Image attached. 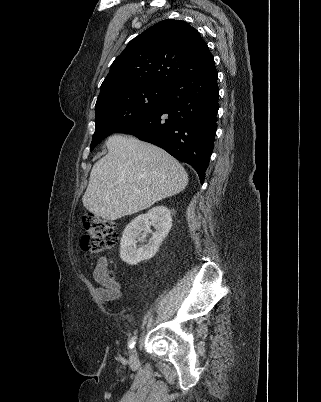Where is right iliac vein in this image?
Returning <instances> with one entry per match:
<instances>
[{
    "label": "right iliac vein",
    "instance_id": "1",
    "mask_svg": "<svg viewBox=\"0 0 321 402\" xmlns=\"http://www.w3.org/2000/svg\"><path fill=\"white\" fill-rule=\"evenodd\" d=\"M137 360V354L136 352H133V354L131 355V362H136Z\"/></svg>",
    "mask_w": 321,
    "mask_h": 402
}]
</instances>
